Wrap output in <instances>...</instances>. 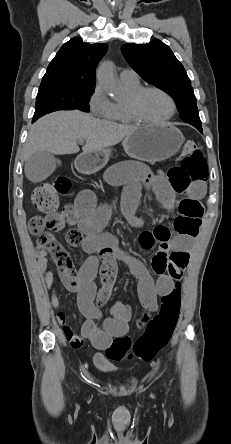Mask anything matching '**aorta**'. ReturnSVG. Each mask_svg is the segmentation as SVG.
I'll list each match as a JSON object with an SVG mask.
<instances>
[{
	"label": "aorta",
	"instance_id": "obj_1",
	"mask_svg": "<svg viewBox=\"0 0 231 444\" xmlns=\"http://www.w3.org/2000/svg\"><path fill=\"white\" fill-rule=\"evenodd\" d=\"M97 79L106 91L113 94L118 92L119 86L116 81L114 67L112 63L105 62L100 66L97 74Z\"/></svg>",
	"mask_w": 231,
	"mask_h": 444
}]
</instances>
